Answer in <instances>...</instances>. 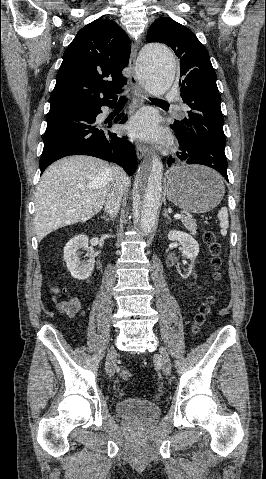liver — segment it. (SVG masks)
<instances>
[{"mask_svg":"<svg viewBox=\"0 0 266 479\" xmlns=\"http://www.w3.org/2000/svg\"><path fill=\"white\" fill-rule=\"evenodd\" d=\"M112 168L106 161L85 155L66 157L49 166L35 194L37 239L41 241L59 228L85 222L100 212ZM129 184L127 178L125 190Z\"/></svg>","mask_w":266,"mask_h":479,"instance_id":"6515ba94","label":"liver"}]
</instances>
